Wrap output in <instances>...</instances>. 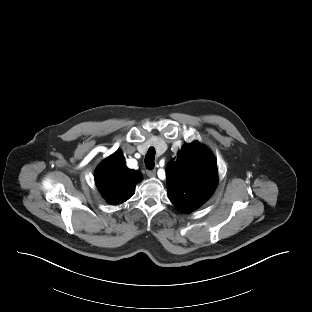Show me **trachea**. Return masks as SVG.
I'll list each match as a JSON object with an SVG mask.
<instances>
[{
    "label": "trachea",
    "instance_id": "1",
    "mask_svg": "<svg viewBox=\"0 0 312 312\" xmlns=\"http://www.w3.org/2000/svg\"><path fill=\"white\" fill-rule=\"evenodd\" d=\"M154 157H155V149L151 147L145 157V165L146 168L151 170L154 168Z\"/></svg>",
    "mask_w": 312,
    "mask_h": 312
}]
</instances>
